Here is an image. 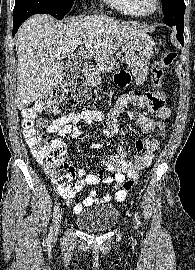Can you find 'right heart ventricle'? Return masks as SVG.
<instances>
[{"instance_id": "1", "label": "right heart ventricle", "mask_w": 195, "mask_h": 270, "mask_svg": "<svg viewBox=\"0 0 195 270\" xmlns=\"http://www.w3.org/2000/svg\"><path fill=\"white\" fill-rule=\"evenodd\" d=\"M112 8L120 13L132 16L142 17L146 14L139 8L137 0H105Z\"/></svg>"}]
</instances>
